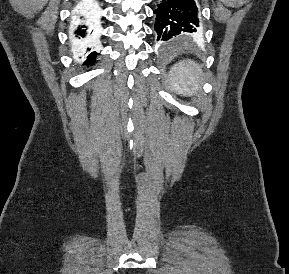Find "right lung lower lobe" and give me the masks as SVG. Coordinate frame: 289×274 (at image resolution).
<instances>
[{
  "instance_id": "98d812e1",
  "label": "right lung lower lobe",
  "mask_w": 289,
  "mask_h": 274,
  "mask_svg": "<svg viewBox=\"0 0 289 274\" xmlns=\"http://www.w3.org/2000/svg\"><path fill=\"white\" fill-rule=\"evenodd\" d=\"M81 14H78L77 17V23H80L78 26L76 25V30L74 34H76V37L79 39H84L86 41V44H90L92 39L94 38V33H93V26L95 24L94 22V17L89 16L88 20L86 23H82V20H85ZM81 21V22H80ZM88 41V42H87ZM87 50H90L89 48ZM97 53L95 51L91 52L87 56V60L84 62L86 65H92L95 61Z\"/></svg>"
}]
</instances>
